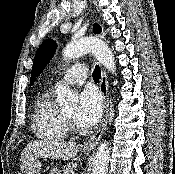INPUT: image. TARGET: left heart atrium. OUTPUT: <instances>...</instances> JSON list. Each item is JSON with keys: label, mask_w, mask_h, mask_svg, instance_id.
<instances>
[{"label": "left heart atrium", "mask_w": 175, "mask_h": 174, "mask_svg": "<svg viewBox=\"0 0 175 174\" xmlns=\"http://www.w3.org/2000/svg\"><path fill=\"white\" fill-rule=\"evenodd\" d=\"M102 114V99L93 87H87L79 94L78 106L74 113V120L81 128H91Z\"/></svg>", "instance_id": "obj_1"}]
</instances>
